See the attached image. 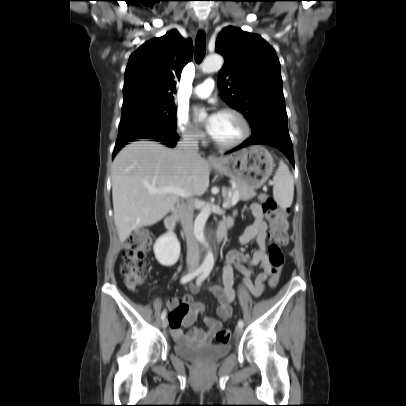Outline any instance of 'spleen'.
Here are the masks:
<instances>
[{
	"mask_svg": "<svg viewBox=\"0 0 406 406\" xmlns=\"http://www.w3.org/2000/svg\"><path fill=\"white\" fill-rule=\"evenodd\" d=\"M273 196L281 208L292 205L294 196V180L284 161L280 160L279 167L273 177Z\"/></svg>",
	"mask_w": 406,
	"mask_h": 406,
	"instance_id": "3e777b00",
	"label": "spleen"
}]
</instances>
